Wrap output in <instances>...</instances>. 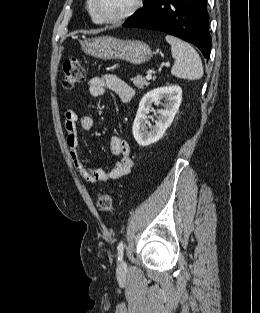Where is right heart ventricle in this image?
<instances>
[{
  "instance_id": "1",
  "label": "right heart ventricle",
  "mask_w": 260,
  "mask_h": 313,
  "mask_svg": "<svg viewBox=\"0 0 260 313\" xmlns=\"http://www.w3.org/2000/svg\"><path fill=\"white\" fill-rule=\"evenodd\" d=\"M86 9H87V12L91 18V20L96 23V24H99V20L96 18L94 12H93V9H92V0H86Z\"/></svg>"
}]
</instances>
